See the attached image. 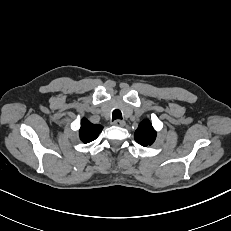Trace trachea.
<instances>
[{"instance_id":"trachea-1","label":"trachea","mask_w":231,"mask_h":231,"mask_svg":"<svg viewBox=\"0 0 231 231\" xmlns=\"http://www.w3.org/2000/svg\"><path fill=\"white\" fill-rule=\"evenodd\" d=\"M117 119H122V113L118 109L114 110L112 113V121L117 120Z\"/></svg>"}]
</instances>
